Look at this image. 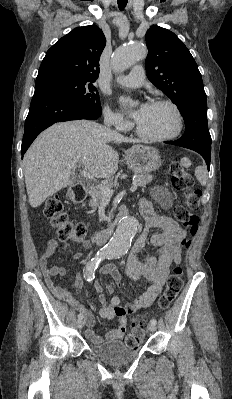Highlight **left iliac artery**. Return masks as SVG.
<instances>
[{
  "label": "left iliac artery",
  "mask_w": 232,
  "mask_h": 399,
  "mask_svg": "<svg viewBox=\"0 0 232 399\" xmlns=\"http://www.w3.org/2000/svg\"><path fill=\"white\" fill-rule=\"evenodd\" d=\"M115 256H117V253H110L109 254V258H113V257H115ZM156 319L155 318H152L151 320H150V323L151 324H156Z\"/></svg>",
  "instance_id": "left-iliac-artery-1"
}]
</instances>
